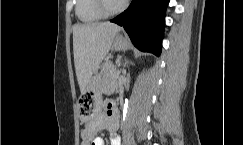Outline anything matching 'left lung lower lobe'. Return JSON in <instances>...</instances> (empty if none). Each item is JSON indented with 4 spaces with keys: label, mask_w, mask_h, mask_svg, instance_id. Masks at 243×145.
Segmentation results:
<instances>
[{
    "label": "left lung lower lobe",
    "mask_w": 243,
    "mask_h": 145,
    "mask_svg": "<svg viewBox=\"0 0 243 145\" xmlns=\"http://www.w3.org/2000/svg\"><path fill=\"white\" fill-rule=\"evenodd\" d=\"M168 3L169 0H132L128 9L111 22L123 26L139 50L159 56Z\"/></svg>",
    "instance_id": "0a47b994"
}]
</instances>
